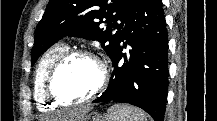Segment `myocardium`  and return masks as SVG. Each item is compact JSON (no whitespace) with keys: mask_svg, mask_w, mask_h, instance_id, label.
Masks as SVG:
<instances>
[{"mask_svg":"<svg viewBox=\"0 0 217 121\" xmlns=\"http://www.w3.org/2000/svg\"><path fill=\"white\" fill-rule=\"evenodd\" d=\"M80 57L88 58L94 61L98 65L100 70L99 82L96 88L91 92V94L88 97L80 101L63 100L55 92L54 89L55 78L63 67L69 64L72 60ZM108 80H109L108 68L105 62L99 56H97L91 51H87L83 49L71 50V51H67L64 55H62L51 67L46 78L45 92L50 102H52L56 106H60V107L79 106V105L87 104L92 100H94L96 97H98V95L101 94L102 91L105 89Z\"/></svg>","mask_w":217,"mask_h":121,"instance_id":"obj_1","label":"myocardium"}]
</instances>
